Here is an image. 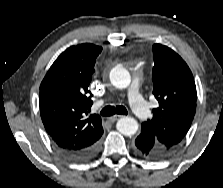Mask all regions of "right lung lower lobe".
I'll return each instance as SVG.
<instances>
[{
    "instance_id": "right-lung-lower-lobe-1",
    "label": "right lung lower lobe",
    "mask_w": 223,
    "mask_h": 188,
    "mask_svg": "<svg viewBox=\"0 0 223 188\" xmlns=\"http://www.w3.org/2000/svg\"><path fill=\"white\" fill-rule=\"evenodd\" d=\"M57 148L60 153H62L68 159L76 162H84L93 158L97 154L99 149V142L97 140L91 145L78 150H70L59 146H57Z\"/></svg>"
}]
</instances>
